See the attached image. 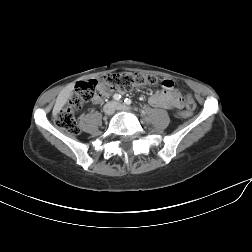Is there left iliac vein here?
Listing matches in <instances>:
<instances>
[{
	"mask_svg": "<svg viewBox=\"0 0 252 252\" xmlns=\"http://www.w3.org/2000/svg\"><path fill=\"white\" fill-rule=\"evenodd\" d=\"M116 109L120 111H128L129 108L121 103H116Z\"/></svg>",
	"mask_w": 252,
	"mask_h": 252,
	"instance_id": "1",
	"label": "left iliac vein"
}]
</instances>
